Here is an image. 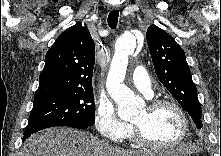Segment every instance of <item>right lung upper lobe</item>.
I'll use <instances>...</instances> for the list:
<instances>
[{
	"label": "right lung upper lobe",
	"mask_w": 221,
	"mask_h": 156,
	"mask_svg": "<svg viewBox=\"0 0 221 156\" xmlns=\"http://www.w3.org/2000/svg\"><path fill=\"white\" fill-rule=\"evenodd\" d=\"M94 63V41L89 30L78 22L48 50L35 98L92 89Z\"/></svg>",
	"instance_id": "1"
}]
</instances>
